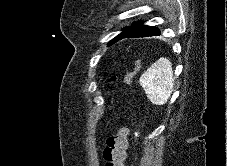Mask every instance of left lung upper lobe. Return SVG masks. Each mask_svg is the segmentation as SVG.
Here are the masks:
<instances>
[{"label": "left lung upper lobe", "mask_w": 227, "mask_h": 166, "mask_svg": "<svg viewBox=\"0 0 227 166\" xmlns=\"http://www.w3.org/2000/svg\"><path fill=\"white\" fill-rule=\"evenodd\" d=\"M128 28H129V27H126L124 30H126V29H128ZM111 42H112V40L110 41V43H111ZM110 43H109V44H110Z\"/></svg>", "instance_id": "1"}]
</instances>
